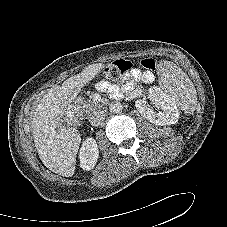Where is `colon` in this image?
I'll use <instances>...</instances> for the list:
<instances>
[{"instance_id": "1", "label": "colon", "mask_w": 227, "mask_h": 227, "mask_svg": "<svg viewBox=\"0 0 227 227\" xmlns=\"http://www.w3.org/2000/svg\"><path fill=\"white\" fill-rule=\"evenodd\" d=\"M141 66L146 76L153 75L156 70V61L152 58H146L141 61ZM131 69V63L126 60H118L104 68V74L111 79H117L122 74Z\"/></svg>"}]
</instances>
